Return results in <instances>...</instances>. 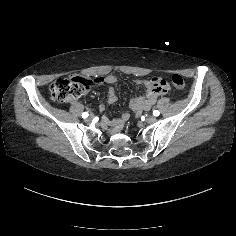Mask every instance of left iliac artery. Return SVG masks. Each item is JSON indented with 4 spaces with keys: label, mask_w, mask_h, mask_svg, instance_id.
Segmentation results:
<instances>
[{
    "label": "left iliac artery",
    "mask_w": 236,
    "mask_h": 236,
    "mask_svg": "<svg viewBox=\"0 0 236 236\" xmlns=\"http://www.w3.org/2000/svg\"><path fill=\"white\" fill-rule=\"evenodd\" d=\"M159 114H160V112H159L158 110H154V111H153V115H154V116H159Z\"/></svg>",
    "instance_id": "obj_1"
}]
</instances>
